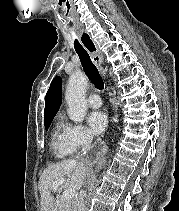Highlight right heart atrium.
Here are the masks:
<instances>
[{"label": "right heart atrium", "mask_w": 179, "mask_h": 211, "mask_svg": "<svg viewBox=\"0 0 179 211\" xmlns=\"http://www.w3.org/2000/svg\"><path fill=\"white\" fill-rule=\"evenodd\" d=\"M64 137L73 151L88 145L92 136L81 124L67 123L64 126Z\"/></svg>", "instance_id": "right-heart-atrium-1"}]
</instances>
